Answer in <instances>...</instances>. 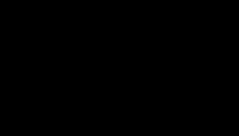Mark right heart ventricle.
I'll use <instances>...</instances> for the list:
<instances>
[{
  "instance_id": "1",
  "label": "right heart ventricle",
  "mask_w": 239,
  "mask_h": 136,
  "mask_svg": "<svg viewBox=\"0 0 239 136\" xmlns=\"http://www.w3.org/2000/svg\"><path fill=\"white\" fill-rule=\"evenodd\" d=\"M157 25V22H149L129 33H125L120 38V43L124 46L143 40Z\"/></svg>"
}]
</instances>
